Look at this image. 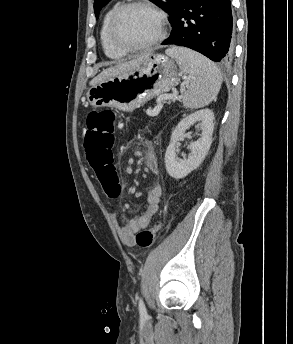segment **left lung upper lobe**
Listing matches in <instances>:
<instances>
[{
	"instance_id": "left-lung-upper-lobe-1",
	"label": "left lung upper lobe",
	"mask_w": 293,
	"mask_h": 344,
	"mask_svg": "<svg viewBox=\"0 0 293 344\" xmlns=\"http://www.w3.org/2000/svg\"><path fill=\"white\" fill-rule=\"evenodd\" d=\"M109 1L110 0H95L94 1V11H95L96 17L99 15L100 10ZM150 1L156 4L157 6H159L160 8H162L163 10H165L169 14L170 16L169 22L171 23L176 14L180 0H150Z\"/></svg>"
}]
</instances>
